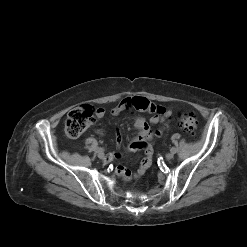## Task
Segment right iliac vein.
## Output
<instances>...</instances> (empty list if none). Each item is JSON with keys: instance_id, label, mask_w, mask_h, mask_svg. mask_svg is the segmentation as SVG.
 Returning <instances> with one entry per match:
<instances>
[{"instance_id": "1", "label": "right iliac vein", "mask_w": 247, "mask_h": 247, "mask_svg": "<svg viewBox=\"0 0 247 247\" xmlns=\"http://www.w3.org/2000/svg\"><path fill=\"white\" fill-rule=\"evenodd\" d=\"M98 157L100 158V159H104L105 158V154H104V152H98Z\"/></svg>"}]
</instances>
